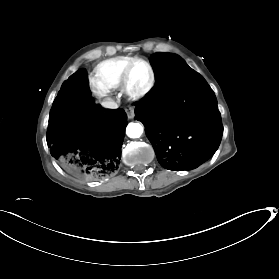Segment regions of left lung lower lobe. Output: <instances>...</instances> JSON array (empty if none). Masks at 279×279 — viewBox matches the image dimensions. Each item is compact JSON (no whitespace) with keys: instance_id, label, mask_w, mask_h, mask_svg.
<instances>
[{"instance_id":"obj_1","label":"left lung lower lobe","mask_w":279,"mask_h":279,"mask_svg":"<svg viewBox=\"0 0 279 279\" xmlns=\"http://www.w3.org/2000/svg\"><path fill=\"white\" fill-rule=\"evenodd\" d=\"M162 167L191 170L218 149L223 126L215 95L201 75L188 76L169 95L134 103Z\"/></svg>"}]
</instances>
